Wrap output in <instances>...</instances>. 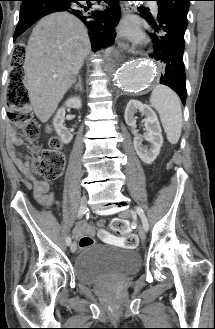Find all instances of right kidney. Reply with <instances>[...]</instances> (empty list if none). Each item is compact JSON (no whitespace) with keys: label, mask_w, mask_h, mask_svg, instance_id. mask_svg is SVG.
Returning a JSON list of instances; mask_svg holds the SVG:
<instances>
[{"label":"right kidney","mask_w":215,"mask_h":329,"mask_svg":"<svg viewBox=\"0 0 215 329\" xmlns=\"http://www.w3.org/2000/svg\"><path fill=\"white\" fill-rule=\"evenodd\" d=\"M66 107H71L74 109H80L82 106L81 99L79 97L69 98L65 102ZM64 118H65V107L58 109L55 117L53 118V126L60 137V140L64 144L70 143L73 138V135L70 131L64 126Z\"/></svg>","instance_id":"1"}]
</instances>
